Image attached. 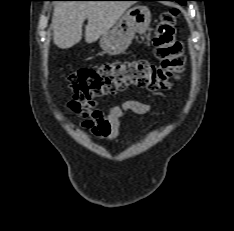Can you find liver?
<instances>
[{"instance_id": "liver-1", "label": "liver", "mask_w": 234, "mask_h": 231, "mask_svg": "<svg viewBox=\"0 0 234 231\" xmlns=\"http://www.w3.org/2000/svg\"><path fill=\"white\" fill-rule=\"evenodd\" d=\"M132 5V1H69L55 4L52 29L53 42L61 49H68L82 39V26L87 43L97 41L106 34Z\"/></svg>"}]
</instances>
